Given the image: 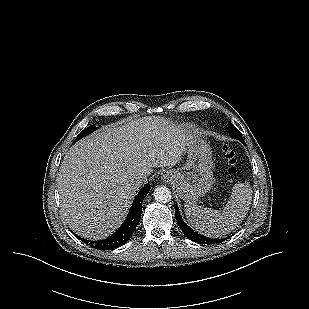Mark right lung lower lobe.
Listing matches in <instances>:
<instances>
[{
    "label": "right lung lower lobe",
    "instance_id": "right-lung-lower-lobe-1",
    "mask_svg": "<svg viewBox=\"0 0 309 309\" xmlns=\"http://www.w3.org/2000/svg\"><path fill=\"white\" fill-rule=\"evenodd\" d=\"M149 191L150 184H146L135 197L125 222L109 238L100 241H89L78 235H76V237L98 250H110L125 244L130 239L139 223L142 212V201Z\"/></svg>",
    "mask_w": 309,
    "mask_h": 309
}]
</instances>
